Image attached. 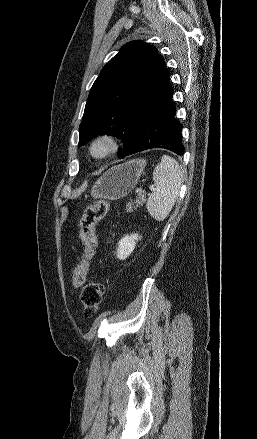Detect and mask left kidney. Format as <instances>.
<instances>
[{"instance_id":"left-kidney-1","label":"left kidney","mask_w":257,"mask_h":439,"mask_svg":"<svg viewBox=\"0 0 257 439\" xmlns=\"http://www.w3.org/2000/svg\"><path fill=\"white\" fill-rule=\"evenodd\" d=\"M140 239L138 234L126 235L118 242L117 258L124 260L130 256L136 246V242Z\"/></svg>"}]
</instances>
